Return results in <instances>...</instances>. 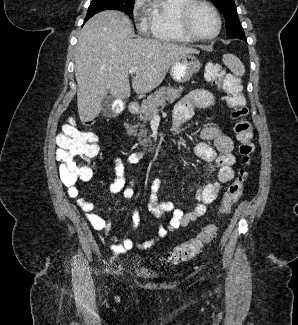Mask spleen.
<instances>
[{"mask_svg": "<svg viewBox=\"0 0 298 325\" xmlns=\"http://www.w3.org/2000/svg\"><path fill=\"white\" fill-rule=\"evenodd\" d=\"M222 60L225 66H228L235 76H243V74H245V66L243 62H241L240 58L235 56V54L227 52V54H223Z\"/></svg>", "mask_w": 298, "mask_h": 325, "instance_id": "obj_1", "label": "spleen"}]
</instances>
